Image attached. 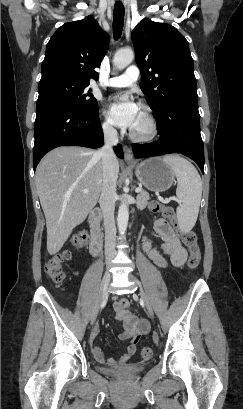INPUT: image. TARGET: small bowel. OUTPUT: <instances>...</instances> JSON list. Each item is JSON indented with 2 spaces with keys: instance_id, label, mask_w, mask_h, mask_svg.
I'll return each instance as SVG.
<instances>
[{
  "instance_id": "1",
  "label": "small bowel",
  "mask_w": 243,
  "mask_h": 409,
  "mask_svg": "<svg viewBox=\"0 0 243 409\" xmlns=\"http://www.w3.org/2000/svg\"><path fill=\"white\" fill-rule=\"evenodd\" d=\"M154 227L162 240V250L169 257L170 263L174 266L182 265L186 260L187 253L185 248L180 244L179 239L169 222L163 218H158L155 220ZM144 249L150 259L157 266L162 268L167 267L168 261L157 249L152 247L148 240L144 241ZM129 308L130 302L127 299L116 298L114 300L116 319L121 321L123 325V330L119 334L118 339L120 341L130 340L125 353L116 359L106 358L102 353L101 348L94 344V340L98 335V328H96L89 338V343L91 353L97 361L124 364L136 353L137 343L140 337L148 331V324L145 320L134 316Z\"/></svg>"
}]
</instances>
